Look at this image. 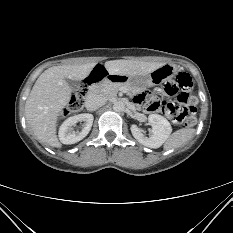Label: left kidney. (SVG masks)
<instances>
[{"instance_id":"1","label":"left kidney","mask_w":233,"mask_h":233,"mask_svg":"<svg viewBox=\"0 0 233 233\" xmlns=\"http://www.w3.org/2000/svg\"><path fill=\"white\" fill-rule=\"evenodd\" d=\"M148 121L152 126V135L150 137H146L135 124L131 125V133L142 145L154 149L159 148L170 136L172 127L168 120L158 114H150Z\"/></svg>"}]
</instances>
